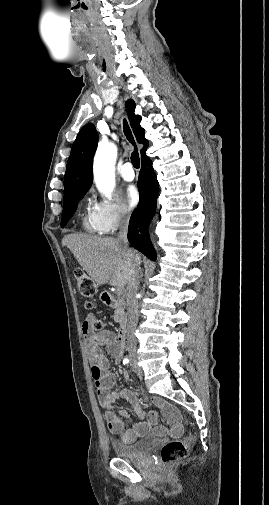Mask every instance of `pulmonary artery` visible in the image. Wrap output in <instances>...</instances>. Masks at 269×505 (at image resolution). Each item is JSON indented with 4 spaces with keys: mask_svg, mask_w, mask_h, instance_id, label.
<instances>
[{
    "mask_svg": "<svg viewBox=\"0 0 269 505\" xmlns=\"http://www.w3.org/2000/svg\"><path fill=\"white\" fill-rule=\"evenodd\" d=\"M120 175L126 181H132L135 178V173L130 162H126L120 168Z\"/></svg>",
    "mask_w": 269,
    "mask_h": 505,
    "instance_id": "1",
    "label": "pulmonary artery"
}]
</instances>
